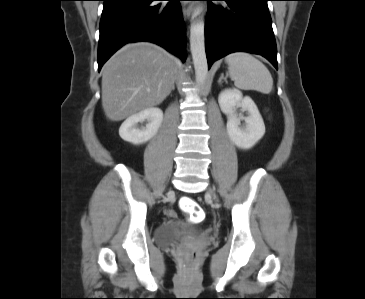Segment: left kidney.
Instances as JSON below:
<instances>
[{"instance_id":"5707ae66","label":"left kidney","mask_w":365,"mask_h":299,"mask_svg":"<svg viewBox=\"0 0 365 299\" xmlns=\"http://www.w3.org/2000/svg\"><path fill=\"white\" fill-rule=\"evenodd\" d=\"M223 113L228 117L227 133L231 141L241 149L252 148L265 134V125L257 106L250 97H243L239 91L226 89L218 97ZM247 111V117H238L236 110ZM244 120L245 125L240 126Z\"/></svg>"}]
</instances>
